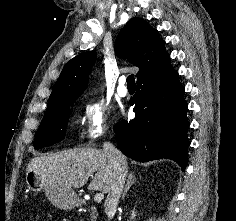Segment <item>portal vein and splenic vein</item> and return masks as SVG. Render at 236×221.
Returning <instances> with one entry per match:
<instances>
[{
  "mask_svg": "<svg viewBox=\"0 0 236 221\" xmlns=\"http://www.w3.org/2000/svg\"><path fill=\"white\" fill-rule=\"evenodd\" d=\"M104 198V194L103 193H97L95 196H94V201L95 202H101Z\"/></svg>",
  "mask_w": 236,
  "mask_h": 221,
  "instance_id": "obj_1",
  "label": "portal vein and splenic vein"
}]
</instances>
